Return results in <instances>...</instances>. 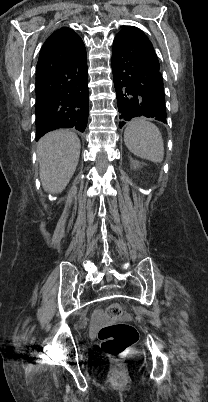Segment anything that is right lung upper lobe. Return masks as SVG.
I'll return each mask as SVG.
<instances>
[{
    "label": "right lung upper lobe",
    "mask_w": 208,
    "mask_h": 402,
    "mask_svg": "<svg viewBox=\"0 0 208 402\" xmlns=\"http://www.w3.org/2000/svg\"><path fill=\"white\" fill-rule=\"evenodd\" d=\"M74 34H76V33L72 29H70L68 27H62V28L56 30L53 34H51L48 37V39L43 44L42 48H45V47L53 45V44L60 43Z\"/></svg>",
    "instance_id": "cb5924a9"
}]
</instances>
